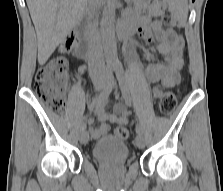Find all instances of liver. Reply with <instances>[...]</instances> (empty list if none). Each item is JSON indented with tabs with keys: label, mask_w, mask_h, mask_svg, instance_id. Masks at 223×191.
Returning a JSON list of instances; mask_svg holds the SVG:
<instances>
[{
	"label": "liver",
	"mask_w": 223,
	"mask_h": 191,
	"mask_svg": "<svg viewBox=\"0 0 223 191\" xmlns=\"http://www.w3.org/2000/svg\"><path fill=\"white\" fill-rule=\"evenodd\" d=\"M88 0H27L38 39V62L45 64L81 19Z\"/></svg>",
	"instance_id": "1"
}]
</instances>
